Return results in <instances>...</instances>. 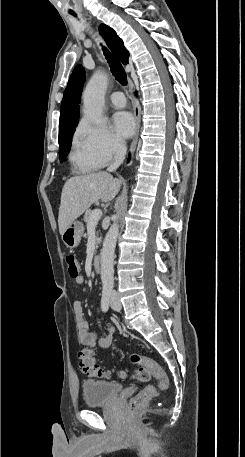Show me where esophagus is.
Wrapping results in <instances>:
<instances>
[{
    "mask_svg": "<svg viewBox=\"0 0 245 457\" xmlns=\"http://www.w3.org/2000/svg\"><path fill=\"white\" fill-rule=\"evenodd\" d=\"M129 90H130L131 94H133V86H132L131 81H129ZM133 100H134L133 112H134V118H135V122H136V129H135L133 141H132L131 148H130L131 153L134 152L136 145H137L138 135H139V130H140V122H141L140 106H139L137 99L134 97V95H133Z\"/></svg>",
    "mask_w": 245,
    "mask_h": 457,
    "instance_id": "34e87169",
    "label": "esophagus"
}]
</instances>
